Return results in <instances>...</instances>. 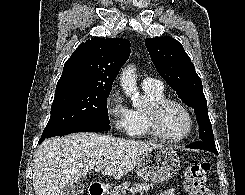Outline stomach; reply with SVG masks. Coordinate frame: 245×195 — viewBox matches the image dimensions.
I'll return each mask as SVG.
<instances>
[{
    "label": "stomach",
    "instance_id": "stomach-1",
    "mask_svg": "<svg viewBox=\"0 0 245 195\" xmlns=\"http://www.w3.org/2000/svg\"><path fill=\"white\" fill-rule=\"evenodd\" d=\"M180 158L171 147H160L143 154L136 171L144 181L163 183L170 180L180 169Z\"/></svg>",
    "mask_w": 245,
    "mask_h": 195
}]
</instances>
